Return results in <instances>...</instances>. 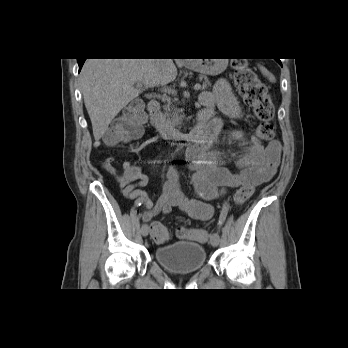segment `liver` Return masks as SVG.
<instances>
[{
    "mask_svg": "<svg viewBox=\"0 0 348 348\" xmlns=\"http://www.w3.org/2000/svg\"><path fill=\"white\" fill-rule=\"evenodd\" d=\"M176 77L172 59H87L80 85L95 140L101 139L118 113L144 90L165 86Z\"/></svg>",
    "mask_w": 348,
    "mask_h": 348,
    "instance_id": "obj_1",
    "label": "liver"
}]
</instances>
